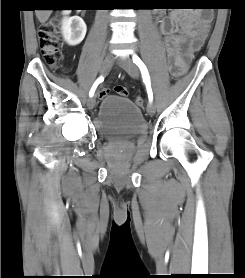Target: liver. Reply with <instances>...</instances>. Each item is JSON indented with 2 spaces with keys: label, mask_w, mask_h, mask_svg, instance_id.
<instances>
[{
  "label": "liver",
  "mask_w": 245,
  "mask_h": 278,
  "mask_svg": "<svg viewBox=\"0 0 245 278\" xmlns=\"http://www.w3.org/2000/svg\"><path fill=\"white\" fill-rule=\"evenodd\" d=\"M52 10H36V16L40 23L44 24L50 17Z\"/></svg>",
  "instance_id": "1"
}]
</instances>
